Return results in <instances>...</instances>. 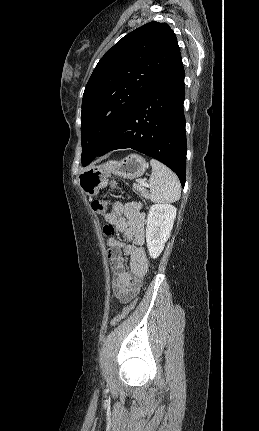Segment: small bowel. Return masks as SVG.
<instances>
[{
	"instance_id": "obj_1",
	"label": "small bowel",
	"mask_w": 259,
	"mask_h": 431,
	"mask_svg": "<svg viewBox=\"0 0 259 431\" xmlns=\"http://www.w3.org/2000/svg\"><path fill=\"white\" fill-rule=\"evenodd\" d=\"M105 220L115 226L129 243L110 238L107 242L108 258L113 271L112 291L122 303H127L141 286V279L148 270V260L143 244L145 241V214L134 203L114 202ZM129 259V267L126 266Z\"/></svg>"
}]
</instances>
